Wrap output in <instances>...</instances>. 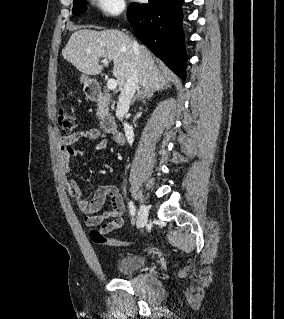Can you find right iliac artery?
Listing matches in <instances>:
<instances>
[{"instance_id": "right-iliac-artery-1", "label": "right iliac artery", "mask_w": 284, "mask_h": 319, "mask_svg": "<svg viewBox=\"0 0 284 319\" xmlns=\"http://www.w3.org/2000/svg\"><path fill=\"white\" fill-rule=\"evenodd\" d=\"M129 211H130L131 216L135 215L136 209H135L133 202H131V201L129 202Z\"/></svg>"}]
</instances>
